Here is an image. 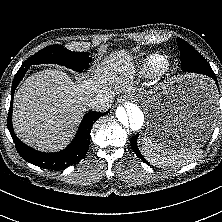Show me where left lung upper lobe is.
Here are the masks:
<instances>
[{
  "label": "left lung upper lobe",
  "mask_w": 222,
  "mask_h": 222,
  "mask_svg": "<svg viewBox=\"0 0 222 222\" xmlns=\"http://www.w3.org/2000/svg\"><path fill=\"white\" fill-rule=\"evenodd\" d=\"M177 42L180 50L181 67L184 61L192 58L195 65L200 66L202 70L213 71L209 63L190 44L181 38H177Z\"/></svg>",
  "instance_id": "left-lung-upper-lobe-1"
}]
</instances>
